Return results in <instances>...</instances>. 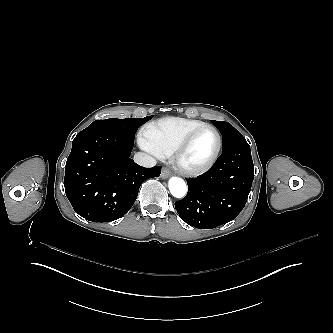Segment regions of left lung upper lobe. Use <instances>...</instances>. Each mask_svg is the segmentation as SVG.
Segmentation results:
<instances>
[{
	"mask_svg": "<svg viewBox=\"0 0 333 333\" xmlns=\"http://www.w3.org/2000/svg\"><path fill=\"white\" fill-rule=\"evenodd\" d=\"M212 123L220 130V133L222 134V139H223L222 151H225L236 144L246 142L242 134L238 130H236L229 122L212 121Z\"/></svg>",
	"mask_w": 333,
	"mask_h": 333,
	"instance_id": "1",
	"label": "left lung upper lobe"
}]
</instances>
